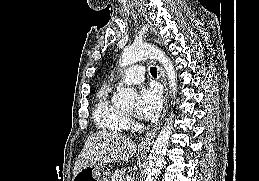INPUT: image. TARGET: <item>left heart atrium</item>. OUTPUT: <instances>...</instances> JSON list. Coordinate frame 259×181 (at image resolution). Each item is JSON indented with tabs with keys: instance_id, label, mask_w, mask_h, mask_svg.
<instances>
[{
	"instance_id": "obj_1",
	"label": "left heart atrium",
	"mask_w": 259,
	"mask_h": 181,
	"mask_svg": "<svg viewBox=\"0 0 259 181\" xmlns=\"http://www.w3.org/2000/svg\"><path fill=\"white\" fill-rule=\"evenodd\" d=\"M162 107V94L158 87H142L137 95L136 113L144 120L158 116Z\"/></svg>"
}]
</instances>
